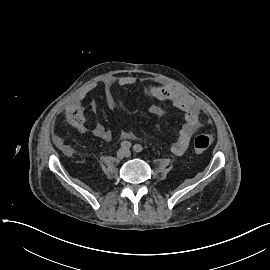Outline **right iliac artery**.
I'll return each mask as SVG.
<instances>
[{
    "instance_id": "right-iliac-artery-1",
    "label": "right iliac artery",
    "mask_w": 270,
    "mask_h": 270,
    "mask_svg": "<svg viewBox=\"0 0 270 270\" xmlns=\"http://www.w3.org/2000/svg\"><path fill=\"white\" fill-rule=\"evenodd\" d=\"M120 145L123 149H129L131 147V143L129 141H122Z\"/></svg>"
}]
</instances>
